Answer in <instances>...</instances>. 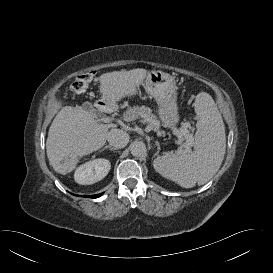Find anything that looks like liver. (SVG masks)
<instances>
[{"label":"liver","mask_w":273,"mask_h":273,"mask_svg":"<svg viewBox=\"0 0 273 273\" xmlns=\"http://www.w3.org/2000/svg\"><path fill=\"white\" fill-rule=\"evenodd\" d=\"M148 72L138 68L103 74L100 77L101 101L115 106L122 98L135 95ZM111 127L115 126L99 123L82 106L63 107L55 116L48 132L46 153L50 165L59 174L72 172L81 157L105 144Z\"/></svg>","instance_id":"6515ba94"}]
</instances>
